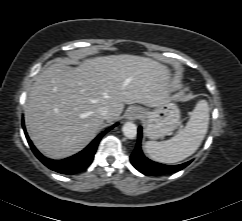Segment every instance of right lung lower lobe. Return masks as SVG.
<instances>
[{
  "label": "right lung lower lobe",
  "instance_id": "1",
  "mask_svg": "<svg viewBox=\"0 0 242 221\" xmlns=\"http://www.w3.org/2000/svg\"><path fill=\"white\" fill-rule=\"evenodd\" d=\"M117 124L113 125L111 128L115 127ZM111 128L107 129L106 131L99 134L83 151L80 153L71 156L69 158L63 159V160H52L45 158L32 144L31 140L29 139L25 127L23 126V129L25 131L26 138L28 140V143L33 151V153L36 155V157L48 168H50L53 171H56L58 173L62 174H75L78 172H81L85 170L93 161L94 154L96 152L97 146L103 137L104 134H106Z\"/></svg>",
  "mask_w": 242,
  "mask_h": 221
}]
</instances>
